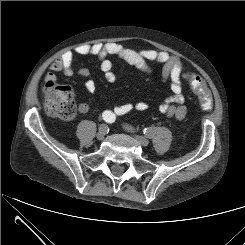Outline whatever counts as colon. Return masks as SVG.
Returning <instances> with one entry per match:
<instances>
[{"instance_id":"1","label":"colon","mask_w":245,"mask_h":245,"mask_svg":"<svg viewBox=\"0 0 245 245\" xmlns=\"http://www.w3.org/2000/svg\"><path fill=\"white\" fill-rule=\"evenodd\" d=\"M192 91L200 100L201 107L208 110L212 107V98L204 80L196 73L187 75ZM45 109L63 120H71L76 114V104L70 86L47 81L44 85Z\"/></svg>"}]
</instances>
